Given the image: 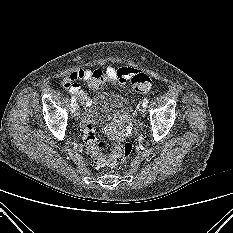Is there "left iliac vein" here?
<instances>
[{
  "label": "left iliac vein",
  "mask_w": 233,
  "mask_h": 233,
  "mask_svg": "<svg viewBox=\"0 0 233 233\" xmlns=\"http://www.w3.org/2000/svg\"><path fill=\"white\" fill-rule=\"evenodd\" d=\"M139 112H140V115H141L142 117H144L145 114H146V108H145L143 105H141V106H140V109H139Z\"/></svg>",
  "instance_id": "1"
}]
</instances>
